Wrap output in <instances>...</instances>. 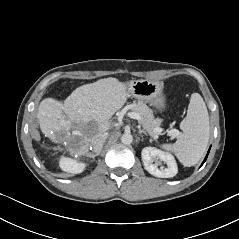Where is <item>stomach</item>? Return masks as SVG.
Masks as SVG:
<instances>
[{"mask_svg": "<svg viewBox=\"0 0 239 239\" xmlns=\"http://www.w3.org/2000/svg\"><path fill=\"white\" fill-rule=\"evenodd\" d=\"M129 96L148 102L159 111L166 108V98L163 94V84L150 80L131 81L127 84Z\"/></svg>", "mask_w": 239, "mask_h": 239, "instance_id": "0dacf381", "label": "stomach"}]
</instances>
